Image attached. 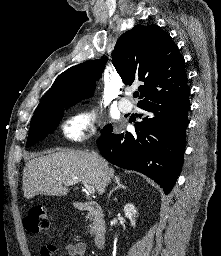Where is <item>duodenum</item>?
Instances as JSON below:
<instances>
[{
    "instance_id": "duodenum-1",
    "label": "duodenum",
    "mask_w": 221,
    "mask_h": 256,
    "mask_svg": "<svg viewBox=\"0 0 221 256\" xmlns=\"http://www.w3.org/2000/svg\"><path fill=\"white\" fill-rule=\"evenodd\" d=\"M77 209L85 211L92 220V236L97 248H103L106 242V224L101 206L94 201L78 202Z\"/></svg>"
}]
</instances>
